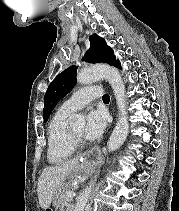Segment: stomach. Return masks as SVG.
<instances>
[{"label":"stomach","mask_w":179,"mask_h":211,"mask_svg":"<svg viewBox=\"0 0 179 211\" xmlns=\"http://www.w3.org/2000/svg\"><path fill=\"white\" fill-rule=\"evenodd\" d=\"M86 163H84V165H85ZM82 173V169H81V167H80V170L76 173V175H75V177L76 176H78L79 174H81Z\"/></svg>","instance_id":"0dacf381"}]
</instances>
